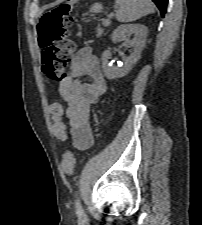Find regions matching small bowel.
<instances>
[{
    "instance_id": "1",
    "label": "small bowel",
    "mask_w": 202,
    "mask_h": 225,
    "mask_svg": "<svg viewBox=\"0 0 202 225\" xmlns=\"http://www.w3.org/2000/svg\"><path fill=\"white\" fill-rule=\"evenodd\" d=\"M83 77H89L91 83L84 82ZM107 91L108 83L92 49L87 46L80 48L71 61L68 75L58 84V92L67 107L60 116L55 115L51 107L52 134L63 142L70 134L77 149H89L94 143L89 121L90 106L98 102ZM63 115L68 120L69 130L62 122Z\"/></svg>"
}]
</instances>
